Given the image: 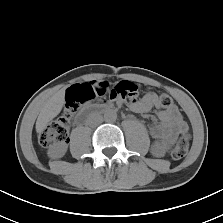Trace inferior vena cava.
Here are the masks:
<instances>
[{"instance_id":"inferior-vena-cava-1","label":"inferior vena cava","mask_w":223,"mask_h":223,"mask_svg":"<svg viewBox=\"0 0 223 223\" xmlns=\"http://www.w3.org/2000/svg\"><path fill=\"white\" fill-rule=\"evenodd\" d=\"M102 122H103V117L99 114H95V115L92 116V118L89 122V125L90 126H97Z\"/></svg>"}]
</instances>
